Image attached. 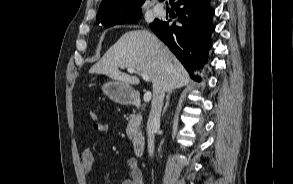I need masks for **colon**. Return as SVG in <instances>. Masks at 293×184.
Listing matches in <instances>:
<instances>
[{
    "label": "colon",
    "mask_w": 293,
    "mask_h": 184,
    "mask_svg": "<svg viewBox=\"0 0 293 184\" xmlns=\"http://www.w3.org/2000/svg\"><path fill=\"white\" fill-rule=\"evenodd\" d=\"M89 114H90V118H91V119L95 120V119L97 118V115H96V113H95L94 110H91V111L89 112Z\"/></svg>",
    "instance_id": "5ec220e1"
}]
</instances>
